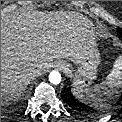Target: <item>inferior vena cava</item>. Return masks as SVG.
Masks as SVG:
<instances>
[{
	"instance_id": "1",
	"label": "inferior vena cava",
	"mask_w": 122,
	"mask_h": 122,
	"mask_svg": "<svg viewBox=\"0 0 122 122\" xmlns=\"http://www.w3.org/2000/svg\"><path fill=\"white\" fill-rule=\"evenodd\" d=\"M37 66H38L37 74H40V69L42 65H37Z\"/></svg>"
}]
</instances>
